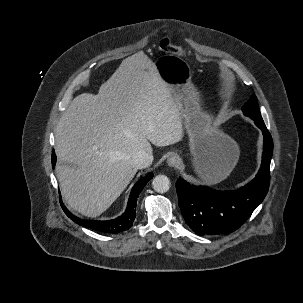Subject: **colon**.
Here are the masks:
<instances>
[{"mask_svg":"<svg viewBox=\"0 0 303 303\" xmlns=\"http://www.w3.org/2000/svg\"><path fill=\"white\" fill-rule=\"evenodd\" d=\"M159 49L163 52L182 54V49L177 45L171 44L170 39L168 37H164L160 40Z\"/></svg>","mask_w":303,"mask_h":303,"instance_id":"1","label":"colon"}]
</instances>
